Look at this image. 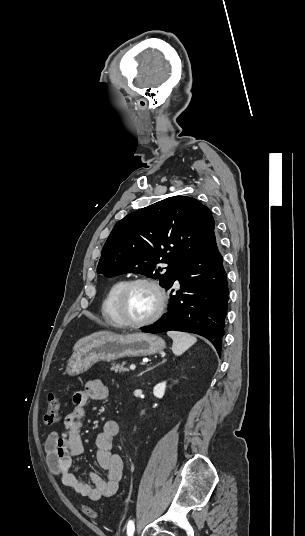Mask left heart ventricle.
Instances as JSON below:
<instances>
[{
	"label": "left heart ventricle",
	"mask_w": 305,
	"mask_h": 536,
	"mask_svg": "<svg viewBox=\"0 0 305 536\" xmlns=\"http://www.w3.org/2000/svg\"><path fill=\"white\" fill-rule=\"evenodd\" d=\"M158 307V295L147 284H137L127 293L124 300V313L128 321H140L152 314Z\"/></svg>",
	"instance_id": "b2bd125f"
}]
</instances>
